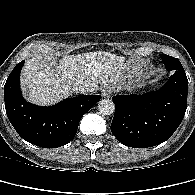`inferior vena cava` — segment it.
Here are the masks:
<instances>
[{
  "instance_id": "602c4592",
  "label": "inferior vena cava",
  "mask_w": 195,
  "mask_h": 195,
  "mask_svg": "<svg viewBox=\"0 0 195 195\" xmlns=\"http://www.w3.org/2000/svg\"><path fill=\"white\" fill-rule=\"evenodd\" d=\"M75 90L86 94L89 92H93L95 90V88L92 84L86 83V84H80V85L76 86Z\"/></svg>"
}]
</instances>
